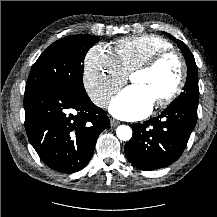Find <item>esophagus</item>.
<instances>
[{
  "label": "esophagus",
  "instance_id": "1",
  "mask_svg": "<svg viewBox=\"0 0 217 217\" xmlns=\"http://www.w3.org/2000/svg\"><path fill=\"white\" fill-rule=\"evenodd\" d=\"M118 124H119V121H117V120H115V119H111V120H110V125H111V126L114 127V126H117Z\"/></svg>",
  "mask_w": 217,
  "mask_h": 217
}]
</instances>
